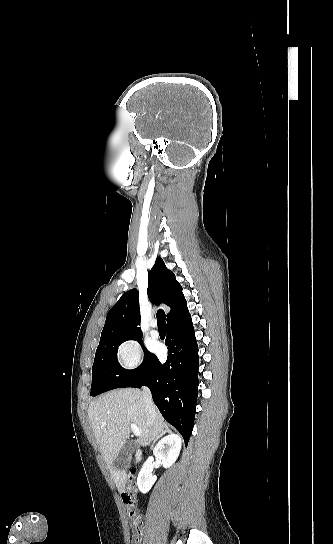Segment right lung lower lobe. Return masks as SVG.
I'll return each instance as SVG.
<instances>
[{
  "instance_id": "98d812e1",
  "label": "right lung lower lobe",
  "mask_w": 333,
  "mask_h": 544,
  "mask_svg": "<svg viewBox=\"0 0 333 544\" xmlns=\"http://www.w3.org/2000/svg\"><path fill=\"white\" fill-rule=\"evenodd\" d=\"M168 357L161 364L152 354L141 379L129 387L148 386L154 403L167 422L183 436H191L198 395L199 356L189 312L167 322Z\"/></svg>"
}]
</instances>
